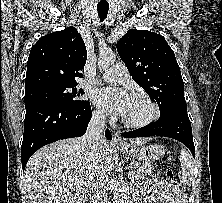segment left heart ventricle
I'll return each instance as SVG.
<instances>
[{
	"label": "left heart ventricle",
	"instance_id": "obj_1",
	"mask_svg": "<svg viewBox=\"0 0 222 203\" xmlns=\"http://www.w3.org/2000/svg\"><path fill=\"white\" fill-rule=\"evenodd\" d=\"M152 113L151 107L142 99L130 97L123 117L129 121H142Z\"/></svg>",
	"mask_w": 222,
	"mask_h": 203
}]
</instances>
